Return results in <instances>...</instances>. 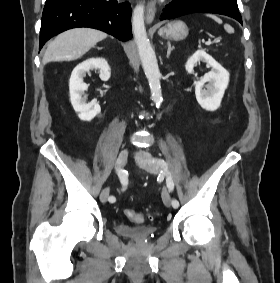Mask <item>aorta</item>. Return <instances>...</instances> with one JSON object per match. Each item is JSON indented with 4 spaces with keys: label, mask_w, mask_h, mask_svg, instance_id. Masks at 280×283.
<instances>
[{
    "label": "aorta",
    "mask_w": 280,
    "mask_h": 283,
    "mask_svg": "<svg viewBox=\"0 0 280 283\" xmlns=\"http://www.w3.org/2000/svg\"><path fill=\"white\" fill-rule=\"evenodd\" d=\"M132 30L142 67L149 82L151 98L156 106L159 107L162 103V91L160 85L161 74L158 68L155 52L147 37L144 24L143 4L137 5L133 11Z\"/></svg>",
    "instance_id": "1"
}]
</instances>
